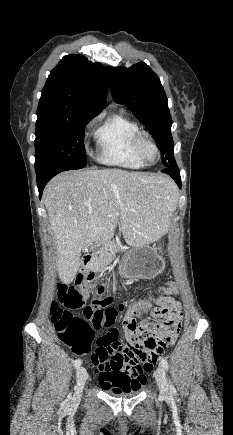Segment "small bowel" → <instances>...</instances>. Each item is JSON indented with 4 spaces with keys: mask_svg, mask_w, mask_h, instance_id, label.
<instances>
[{
    "mask_svg": "<svg viewBox=\"0 0 233 435\" xmlns=\"http://www.w3.org/2000/svg\"><path fill=\"white\" fill-rule=\"evenodd\" d=\"M171 288L173 291L177 290L176 285H172ZM115 289L116 284L114 281H111L107 285H99L98 294H108L114 292ZM82 295L87 298L88 292L86 290L82 291ZM151 299L158 304L159 310L158 314H155V318L148 321V324L164 330V324L158 322L157 319H165L167 327L173 328L174 335H176L180 329L183 317L180 303L169 295H156L152 296ZM128 306L133 307L138 305L137 303H132ZM115 323L116 320L108 326V331L101 335L104 339L111 340L112 344H115L119 337L118 331L114 328ZM123 360L124 357L121 354L115 353L108 359V361L94 364L99 376L100 385L103 389L115 390L116 383L114 377L119 374H125L128 377L129 384L131 385L140 384L144 381L145 374L148 371H146L144 367L138 365L128 368L124 365Z\"/></svg>",
    "mask_w": 233,
    "mask_h": 435,
    "instance_id": "1",
    "label": "small bowel"
}]
</instances>
